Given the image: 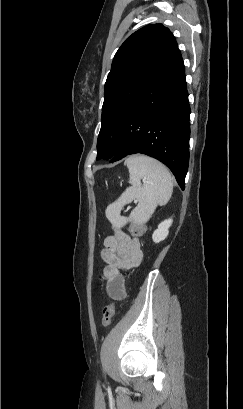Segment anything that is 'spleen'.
<instances>
[{"instance_id": "obj_1", "label": "spleen", "mask_w": 243, "mask_h": 409, "mask_svg": "<svg viewBox=\"0 0 243 409\" xmlns=\"http://www.w3.org/2000/svg\"><path fill=\"white\" fill-rule=\"evenodd\" d=\"M130 184L121 196L105 211L107 219L118 227L127 222H147L158 205L166 204L173 192V177L159 161L145 155H134L127 159ZM143 180V184H141ZM138 201L128 218L120 215L124 205Z\"/></svg>"}]
</instances>
